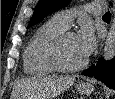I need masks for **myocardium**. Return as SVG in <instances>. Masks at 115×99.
Instances as JSON below:
<instances>
[{
  "mask_svg": "<svg viewBox=\"0 0 115 99\" xmlns=\"http://www.w3.org/2000/svg\"><path fill=\"white\" fill-rule=\"evenodd\" d=\"M73 31L64 30L55 37H53L46 47V57L50 64L55 68V70L62 72H75L83 69L87 63L88 59L85 58L81 63L77 65H67L60 58V47L62 43L70 36H74Z\"/></svg>",
  "mask_w": 115,
  "mask_h": 99,
  "instance_id": "myocardium-1",
  "label": "myocardium"
}]
</instances>
